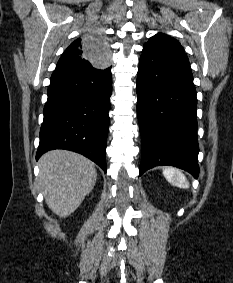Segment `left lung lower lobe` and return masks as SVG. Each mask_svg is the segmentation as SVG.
I'll use <instances>...</instances> for the list:
<instances>
[{"mask_svg": "<svg viewBox=\"0 0 233 283\" xmlns=\"http://www.w3.org/2000/svg\"><path fill=\"white\" fill-rule=\"evenodd\" d=\"M136 90L140 175L152 167L170 165L197 178V98L184 51L144 46Z\"/></svg>", "mask_w": 233, "mask_h": 283, "instance_id": "1", "label": "left lung lower lobe"}]
</instances>
